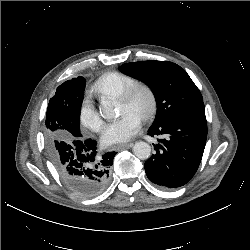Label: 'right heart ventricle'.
Returning <instances> with one entry per match:
<instances>
[{"label":"right heart ventricle","mask_w":250,"mask_h":250,"mask_svg":"<svg viewBox=\"0 0 250 250\" xmlns=\"http://www.w3.org/2000/svg\"><path fill=\"white\" fill-rule=\"evenodd\" d=\"M136 79L126 73L114 71L101 76L93 85L92 92L97 97L111 96L117 98Z\"/></svg>","instance_id":"right-heart-ventricle-1"}]
</instances>
